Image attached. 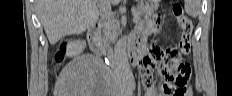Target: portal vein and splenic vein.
I'll use <instances>...</instances> for the list:
<instances>
[{"label":"portal vein and splenic vein","mask_w":232,"mask_h":96,"mask_svg":"<svg viewBox=\"0 0 232 96\" xmlns=\"http://www.w3.org/2000/svg\"><path fill=\"white\" fill-rule=\"evenodd\" d=\"M101 2H102V5L105 6V5H107L108 1L107 0H101ZM137 20H138V18L136 16H134L133 22H137Z\"/></svg>","instance_id":"obj_1"}]
</instances>
